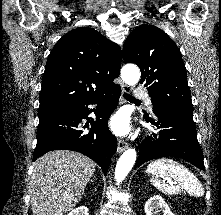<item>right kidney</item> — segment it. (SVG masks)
Instances as JSON below:
<instances>
[{"label": "right kidney", "mask_w": 221, "mask_h": 215, "mask_svg": "<svg viewBox=\"0 0 221 215\" xmlns=\"http://www.w3.org/2000/svg\"><path fill=\"white\" fill-rule=\"evenodd\" d=\"M67 215H89L88 208L85 206H80V207L72 210Z\"/></svg>", "instance_id": "obj_1"}]
</instances>
